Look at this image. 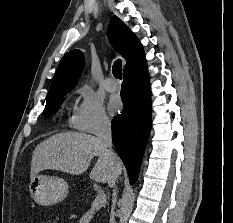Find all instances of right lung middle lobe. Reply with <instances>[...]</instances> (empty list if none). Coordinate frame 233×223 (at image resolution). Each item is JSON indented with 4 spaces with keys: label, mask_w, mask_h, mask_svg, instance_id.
<instances>
[{
    "label": "right lung middle lobe",
    "mask_w": 233,
    "mask_h": 223,
    "mask_svg": "<svg viewBox=\"0 0 233 223\" xmlns=\"http://www.w3.org/2000/svg\"><path fill=\"white\" fill-rule=\"evenodd\" d=\"M60 105L61 100L52 104L45 105L42 115L44 117L52 116L55 112L58 111Z\"/></svg>",
    "instance_id": "dd1d6c3e"
}]
</instances>
